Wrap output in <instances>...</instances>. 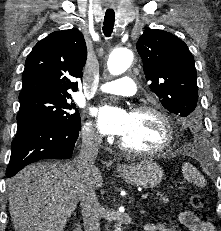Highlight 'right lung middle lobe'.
Listing matches in <instances>:
<instances>
[{"label":"right lung middle lobe","mask_w":221,"mask_h":231,"mask_svg":"<svg viewBox=\"0 0 221 231\" xmlns=\"http://www.w3.org/2000/svg\"><path fill=\"white\" fill-rule=\"evenodd\" d=\"M71 95H37L20 99L17 115L18 128L31 122L49 121L65 126L80 128V115Z\"/></svg>","instance_id":"dd1d6c3e"}]
</instances>
